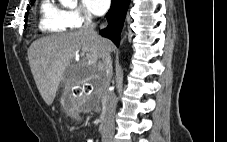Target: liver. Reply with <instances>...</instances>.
Listing matches in <instances>:
<instances>
[{"mask_svg": "<svg viewBox=\"0 0 227 142\" xmlns=\"http://www.w3.org/2000/svg\"><path fill=\"white\" fill-rule=\"evenodd\" d=\"M114 44L105 38L96 39L83 30L55 34L34 41L28 49L30 69L45 103L50 106L60 82L65 78L77 52L85 54L86 81L96 73L98 59L104 52H111Z\"/></svg>", "mask_w": 227, "mask_h": 142, "instance_id": "liver-1", "label": "liver"}]
</instances>
